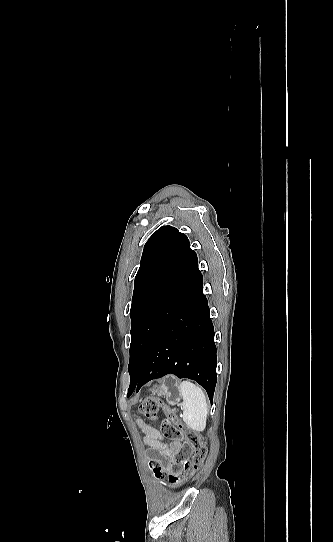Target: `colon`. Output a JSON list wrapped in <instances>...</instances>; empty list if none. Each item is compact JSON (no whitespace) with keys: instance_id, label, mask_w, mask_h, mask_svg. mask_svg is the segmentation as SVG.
<instances>
[{"instance_id":"1","label":"colon","mask_w":333,"mask_h":542,"mask_svg":"<svg viewBox=\"0 0 333 542\" xmlns=\"http://www.w3.org/2000/svg\"><path fill=\"white\" fill-rule=\"evenodd\" d=\"M160 410L163 411L160 425L164 428L163 437L170 441H184L186 451L185 449H174L173 457L163 455L157 460H152L150 469L162 483L168 486H179L189 474L200 469L208 451L199 435L178 422L174 412L163 408L162 402L158 398L149 396L139 406L141 415L149 420H156Z\"/></svg>"}]
</instances>
